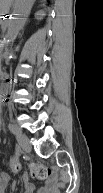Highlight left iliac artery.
Segmentation results:
<instances>
[{
    "label": "left iliac artery",
    "mask_w": 103,
    "mask_h": 193,
    "mask_svg": "<svg viewBox=\"0 0 103 193\" xmlns=\"http://www.w3.org/2000/svg\"><path fill=\"white\" fill-rule=\"evenodd\" d=\"M8 128H9L11 133H13V134L18 133V129L13 124H8Z\"/></svg>",
    "instance_id": "44dca946"
}]
</instances>
